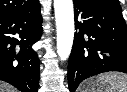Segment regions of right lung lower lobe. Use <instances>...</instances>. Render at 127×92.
<instances>
[{
    "instance_id": "obj_1",
    "label": "right lung lower lobe",
    "mask_w": 127,
    "mask_h": 92,
    "mask_svg": "<svg viewBox=\"0 0 127 92\" xmlns=\"http://www.w3.org/2000/svg\"><path fill=\"white\" fill-rule=\"evenodd\" d=\"M41 35L40 4L0 18V80L22 92H37L40 68L32 45Z\"/></svg>"
}]
</instances>
